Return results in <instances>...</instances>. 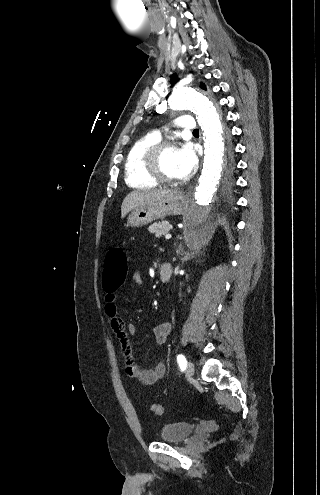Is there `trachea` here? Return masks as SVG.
Here are the masks:
<instances>
[{"mask_svg": "<svg viewBox=\"0 0 320 495\" xmlns=\"http://www.w3.org/2000/svg\"><path fill=\"white\" fill-rule=\"evenodd\" d=\"M193 133H199V130H198V129H195V130L193 131Z\"/></svg>", "mask_w": 320, "mask_h": 495, "instance_id": "3493384b", "label": "trachea"}]
</instances>
